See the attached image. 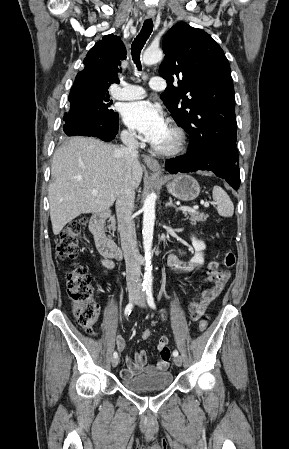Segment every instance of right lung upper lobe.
<instances>
[{
    "label": "right lung upper lobe",
    "mask_w": 289,
    "mask_h": 449,
    "mask_svg": "<svg viewBox=\"0 0 289 449\" xmlns=\"http://www.w3.org/2000/svg\"><path fill=\"white\" fill-rule=\"evenodd\" d=\"M126 58V49L119 37L105 35L87 53L84 70L76 76L74 84L84 89L85 94L108 89L119 83L118 66Z\"/></svg>",
    "instance_id": "1"
}]
</instances>
